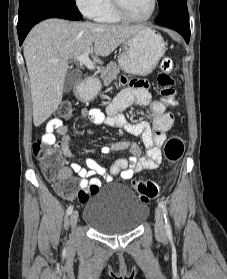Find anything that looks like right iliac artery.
Segmentation results:
<instances>
[{
	"mask_svg": "<svg viewBox=\"0 0 227 279\" xmlns=\"http://www.w3.org/2000/svg\"><path fill=\"white\" fill-rule=\"evenodd\" d=\"M72 211H73V206L70 205L67 209V214L70 215Z\"/></svg>",
	"mask_w": 227,
	"mask_h": 279,
	"instance_id": "obj_1",
	"label": "right iliac artery"
}]
</instances>
